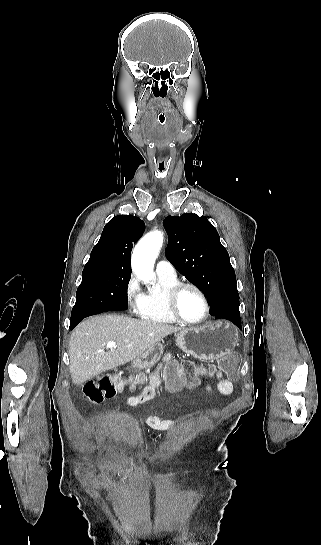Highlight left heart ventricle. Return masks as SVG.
<instances>
[{
    "label": "left heart ventricle",
    "instance_id": "b2bd125f",
    "mask_svg": "<svg viewBox=\"0 0 321 545\" xmlns=\"http://www.w3.org/2000/svg\"><path fill=\"white\" fill-rule=\"evenodd\" d=\"M180 316L189 322L200 320L204 315V305L199 294L193 289L183 290L177 299Z\"/></svg>",
    "mask_w": 321,
    "mask_h": 545
}]
</instances>
